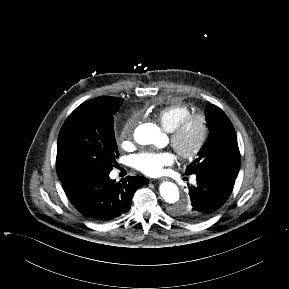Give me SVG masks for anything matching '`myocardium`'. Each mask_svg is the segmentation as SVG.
Wrapping results in <instances>:
<instances>
[{
	"mask_svg": "<svg viewBox=\"0 0 289 289\" xmlns=\"http://www.w3.org/2000/svg\"><path fill=\"white\" fill-rule=\"evenodd\" d=\"M194 121L199 122L200 136L197 143L192 148L186 150L181 147L180 141L188 125ZM209 130V123L206 116L200 113H192L184 117L170 132L171 145L181 158L193 159L203 150L209 136Z\"/></svg>",
	"mask_w": 289,
	"mask_h": 289,
	"instance_id": "myocardium-1",
	"label": "myocardium"
}]
</instances>
